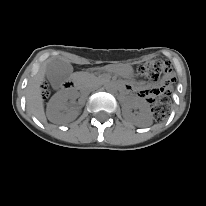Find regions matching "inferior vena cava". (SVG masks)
Wrapping results in <instances>:
<instances>
[{
	"mask_svg": "<svg viewBox=\"0 0 206 206\" xmlns=\"http://www.w3.org/2000/svg\"><path fill=\"white\" fill-rule=\"evenodd\" d=\"M95 88H96V87H91V88H88V89H86V90H85V92H87V93H88V92H90V91L94 90Z\"/></svg>",
	"mask_w": 206,
	"mask_h": 206,
	"instance_id": "1",
	"label": "inferior vena cava"
}]
</instances>
